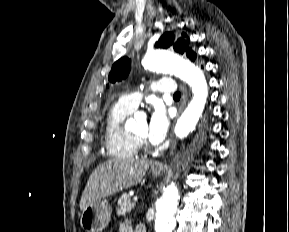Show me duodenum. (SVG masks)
I'll return each instance as SVG.
<instances>
[{
    "label": "duodenum",
    "instance_id": "1",
    "mask_svg": "<svg viewBox=\"0 0 289 232\" xmlns=\"http://www.w3.org/2000/svg\"><path fill=\"white\" fill-rule=\"evenodd\" d=\"M136 232H146V229L144 226H137Z\"/></svg>",
    "mask_w": 289,
    "mask_h": 232
}]
</instances>
